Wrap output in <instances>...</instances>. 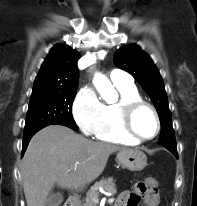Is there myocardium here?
Returning <instances> with one entry per match:
<instances>
[{"label":"myocardium","instance_id":"f54148a6","mask_svg":"<svg viewBox=\"0 0 197 206\" xmlns=\"http://www.w3.org/2000/svg\"><path fill=\"white\" fill-rule=\"evenodd\" d=\"M146 108L151 111L156 121V131L151 137H142L134 129L133 120L136 113ZM118 118L122 131L137 142H145L154 139L158 136L161 130V121L156 108L147 101L142 99L124 100L118 104Z\"/></svg>","mask_w":197,"mask_h":206}]
</instances>
